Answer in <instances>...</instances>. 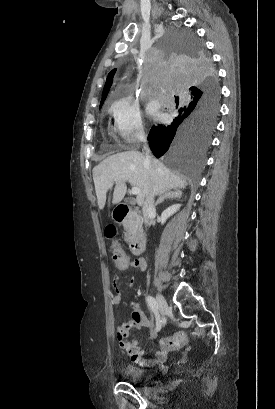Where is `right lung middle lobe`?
<instances>
[{
    "instance_id": "right-lung-middle-lobe-1",
    "label": "right lung middle lobe",
    "mask_w": 275,
    "mask_h": 409,
    "mask_svg": "<svg viewBox=\"0 0 275 409\" xmlns=\"http://www.w3.org/2000/svg\"><path fill=\"white\" fill-rule=\"evenodd\" d=\"M155 43L159 51H172L167 73L172 82H150V91H190L192 96H155V105H164V122L153 126L148 140L154 156L176 176L198 182L203 160L209 150L219 110L216 71L203 44L180 30H161ZM192 188L197 184L192 183Z\"/></svg>"
}]
</instances>
